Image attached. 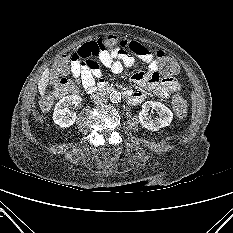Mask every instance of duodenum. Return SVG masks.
<instances>
[{
  "label": "duodenum",
  "mask_w": 233,
  "mask_h": 233,
  "mask_svg": "<svg viewBox=\"0 0 233 233\" xmlns=\"http://www.w3.org/2000/svg\"><path fill=\"white\" fill-rule=\"evenodd\" d=\"M116 88L110 85H101L99 86L96 90L95 93L96 95H107L110 94L111 92L115 91Z\"/></svg>",
  "instance_id": "410a0bca"
}]
</instances>
